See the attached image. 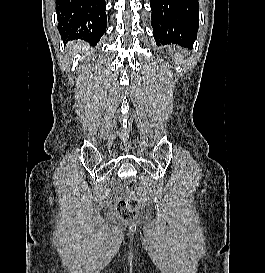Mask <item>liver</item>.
<instances>
[{
  "mask_svg": "<svg viewBox=\"0 0 265 273\" xmlns=\"http://www.w3.org/2000/svg\"><path fill=\"white\" fill-rule=\"evenodd\" d=\"M88 48V45L83 41H77L74 44H72V52L71 54H76L77 51H82L83 53L86 52Z\"/></svg>",
  "mask_w": 265,
  "mask_h": 273,
  "instance_id": "1",
  "label": "liver"
}]
</instances>
